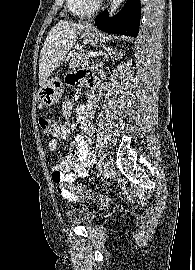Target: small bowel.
<instances>
[{
	"label": "small bowel",
	"instance_id": "small-bowel-1",
	"mask_svg": "<svg viewBox=\"0 0 195 270\" xmlns=\"http://www.w3.org/2000/svg\"><path fill=\"white\" fill-rule=\"evenodd\" d=\"M66 81L69 85L80 81H87L92 85V74L89 72L69 73ZM97 102V95L92 93L85 104L76 108L75 115L81 127V134H78L75 141L71 143L70 152L52 169V180L57 186L58 193L69 201L75 202L82 199L75 192L74 183L90 176V168L95 161L91 144L94 140L93 119ZM62 114L63 122L57 124L50 133L53 138L49 142V149L53 152L57 151L59 142L67 139L70 134L73 105L69 99L63 102Z\"/></svg>",
	"mask_w": 195,
	"mask_h": 270
}]
</instances>
